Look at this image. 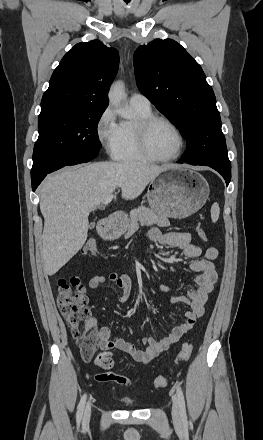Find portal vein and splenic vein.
Instances as JSON below:
<instances>
[{
  "instance_id": "1",
  "label": "portal vein and splenic vein",
  "mask_w": 263,
  "mask_h": 440,
  "mask_svg": "<svg viewBox=\"0 0 263 440\" xmlns=\"http://www.w3.org/2000/svg\"><path fill=\"white\" fill-rule=\"evenodd\" d=\"M113 198H114V195H113V194L108 195V196L102 201V204H104V205H108V204L112 201Z\"/></svg>"
}]
</instances>
